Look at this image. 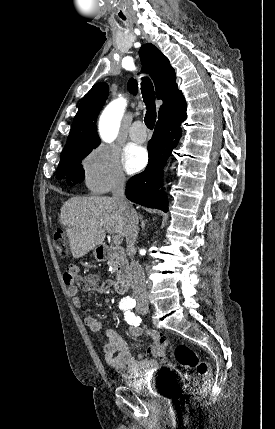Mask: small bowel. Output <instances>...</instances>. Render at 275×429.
Masks as SVG:
<instances>
[{"label": "small bowel", "mask_w": 275, "mask_h": 429, "mask_svg": "<svg viewBox=\"0 0 275 429\" xmlns=\"http://www.w3.org/2000/svg\"><path fill=\"white\" fill-rule=\"evenodd\" d=\"M63 279L67 285V292L74 306L79 310H82L84 307L83 301L78 295L79 288L102 293L108 290L112 285L110 280H103L97 274H87L80 277L79 268L75 265H71L67 268ZM84 321L87 327L93 332H98L103 327L102 322L94 316H87ZM143 332V329L140 327H130L129 329V333L132 337H140ZM105 333L108 339L104 346L105 361L123 378H137L143 373L157 369L158 363L156 359L146 357L144 354H139L137 357L132 356L127 342L114 328L108 326ZM146 334L152 341L146 352L156 354L158 343L164 337L153 330L146 331Z\"/></svg>", "instance_id": "obj_1"}]
</instances>
